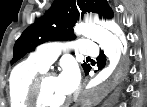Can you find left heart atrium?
<instances>
[{
  "instance_id": "left-heart-atrium-1",
  "label": "left heart atrium",
  "mask_w": 147,
  "mask_h": 107,
  "mask_svg": "<svg viewBox=\"0 0 147 107\" xmlns=\"http://www.w3.org/2000/svg\"><path fill=\"white\" fill-rule=\"evenodd\" d=\"M61 91L69 96L77 88L79 84V74L75 67H67L64 71L57 77Z\"/></svg>"
}]
</instances>
